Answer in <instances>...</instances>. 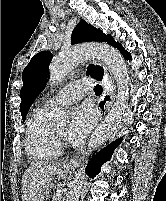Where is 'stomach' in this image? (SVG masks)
Returning <instances> with one entry per match:
<instances>
[{"label":"stomach","mask_w":166,"mask_h":201,"mask_svg":"<svg viewBox=\"0 0 166 201\" xmlns=\"http://www.w3.org/2000/svg\"><path fill=\"white\" fill-rule=\"evenodd\" d=\"M70 171V167L67 169V170H62V175L60 176V175H58L59 177H64L68 172Z\"/></svg>","instance_id":"1"}]
</instances>
